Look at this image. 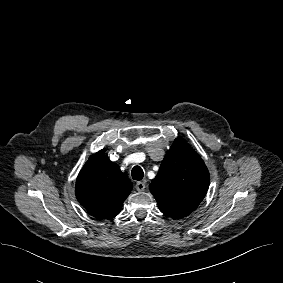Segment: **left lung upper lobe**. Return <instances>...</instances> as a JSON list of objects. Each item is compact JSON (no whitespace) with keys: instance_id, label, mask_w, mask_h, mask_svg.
I'll use <instances>...</instances> for the list:
<instances>
[{"instance_id":"left-lung-upper-lobe-1","label":"left lung upper lobe","mask_w":283,"mask_h":283,"mask_svg":"<svg viewBox=\"0 0 283 283\" xmlns=\"http://www.w3.org/2000/svg\"><path fill=\"white\" fill-rule=\"evenodd\" d=\"M209 181V172L201 157L179 137L167 151L149 189L162 213L181 219L201 203Z\"/></svg>"}]
</instances>
